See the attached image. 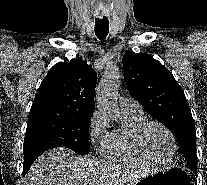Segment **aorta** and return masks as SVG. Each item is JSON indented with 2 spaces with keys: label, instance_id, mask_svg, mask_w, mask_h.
<instances>
[{
  "label": "aorta",
  "instance_id": "1",
  "mask_svg": "<svg viewBox=\"0 0 207 185\" xmlns=\"http://www.w3.org/2000/svg\"><path fill=\"white\" fill-rule=\"evenodd\" d=\"M120 86V70L117 66L108 65L97 86L96 103L100 111L119 116L117 95Z\"/></svg>",
  "mask_w": 207,
  "mask_h": 185
}]
</instances>
